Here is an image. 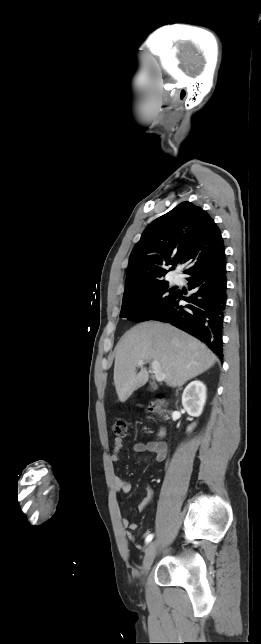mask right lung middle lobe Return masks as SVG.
Listing matches in <instances>:
<instances>
[{"label": "right lung middle lobe", "mask_w": 261, "mask_h": 644, "mask_svg": "<svg viewBox=\"0 0 261 644\" xmlns=\"http://www.w3.org/2000/svg\"><path fill=\"white\" fill-rule=\"evenodd\" d=\"M179 293L165 280L125 288L120 317L142 322L162 312Z\"/></svg>", "instance_id": "dd1d6c3e"}]
</instances>
